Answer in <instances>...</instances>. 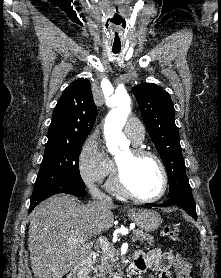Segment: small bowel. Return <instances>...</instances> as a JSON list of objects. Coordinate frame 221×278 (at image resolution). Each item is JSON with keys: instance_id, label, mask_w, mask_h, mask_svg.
<instances>
[{"instance_id": "c3829d8e", "label": "small bowel", "mask_w": 221, "mask_h": 278, "mask_svg": "<svg viewBox=\"0 0 221 278\" xmlns=\"http://www.w3.org/2000/svg\"><path fill=\"white\" fill-rule=\"evenodd\" d=\"M180 260L172 252H163L160 249H152L147 254L136 253L133 257V263L139 272L151 269L158 274V278H171L170 269Z\"/></svg>"}]
</instances>
